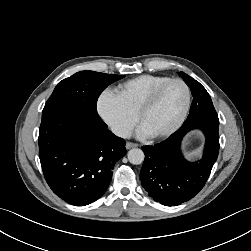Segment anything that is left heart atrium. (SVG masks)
Returning a JSON list of instances; mask_svg holds the SVG:
<instances>
[{
    "instance_id": "left-heart-atrium-1",
    "label": "left heart atrium",
    "mask_w": 251,
    "mask_h": 251,
    "mask_svg": "<svg viewBox=\"0 0 251 251\" xmlns=\"http://www.w3.org/2000/svg\"><path fill=\"white\" fill-rule=\"evenodd\" d=\"M138 135L142 137H148L150 136L149 133L144 129L143 126H140L138 129Z\"/></svg>"
}]
</instances>
